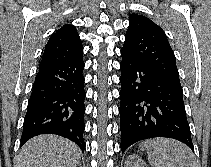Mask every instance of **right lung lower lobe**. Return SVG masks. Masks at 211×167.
<instances>
[{
    "instance_id": "1",
    "label": "right lung lower lobe",
    "mask_w": 211,
    "mask_h": 167,
    "mask_svg": "<svg viewBox=\"0 0 211 167\" xmlns=\"http://www.w3.org/2000/svg\"><path fill=\"white\" fill-rule=\"evenodd\" d=\"M84 62L82 56L39 69L24 118L21 146L40 134H56L85 150Z\"/></svg>"
}]
</instances>
